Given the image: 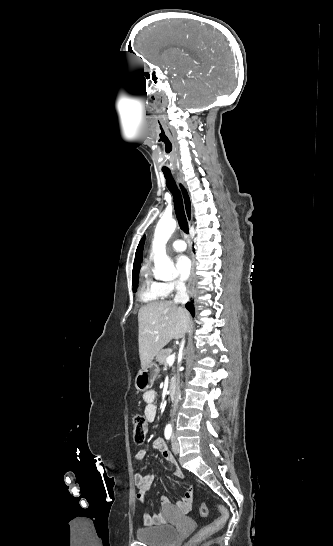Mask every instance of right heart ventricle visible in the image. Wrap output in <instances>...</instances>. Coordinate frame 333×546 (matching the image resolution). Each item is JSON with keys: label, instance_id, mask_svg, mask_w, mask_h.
I'll list each match as a JSON object with an SVG mask.
<instances>
[{"label": "right heart ventricle", "instance_id": "1", "mask_svg": "<svg viewBox=\"0 0 333 546\" xmlns=\"http://www.w3.org/2000/svg\"><path fill=\"white\" fill-rule=\"evenodd\" d=\"M139 296L144 303L148 304L156 303L164 297L160 290V283L154 279L148 264L141 269Z\"/></svg>", "mask_w": 333, "mask_h": 546}]
</instances>
